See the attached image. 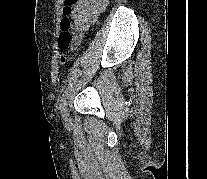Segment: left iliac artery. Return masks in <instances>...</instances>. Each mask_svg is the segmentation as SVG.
I'll list each match as a JSON object with an SVG mask.
<instances>
[{"label":"left iliac artery","instance_id":"1","mask_svg":"<svg viewBox=\"0 0 207 179\" xmlns=\"http://www.w3.org/2000/svg\"><path fill=\"white\" fill-rule=\"evenodd\" d=\"M67 89L64 91L62 97H61V100H60V106H59V110L60 112L62 113H65L66 111V96H67Z\"/></svg>","mask_w":207,"mask_h":179}]
</instances>
